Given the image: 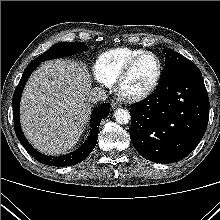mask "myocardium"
<instances>
[{
  "instance_id": "1",
  "label": "myocardium",
  "mask_w": 220,
  "mask_h": 220,
  "mask_svg": "<svg viewBox=\"0 0 220 220\" xmlns=\"http://www.w3.org/2000/svg\"><path fill=\"white\" fill-rule=\"evenodd\" d=\"M147 55L153 56L156 59L157 65H158L157 73H156V76H155L153 82L145 90H143L139 93H126L123 90L124 83L126 82L127 78L129 77V75L132 72L136 63L142 57L147 56ZM162 72H163V65H162V61H161L160 57L152 51H142L141 53L134 56L127 63V65L124 67V69L122 70V72L118 76V78L115 82L116 92H117L118 96L124 101H127V102L141 101V100L147 98L148 96H150L154 92V90L157 88L159 81L161 79V76H162Z\"/></svg>"
}]
</instances>
